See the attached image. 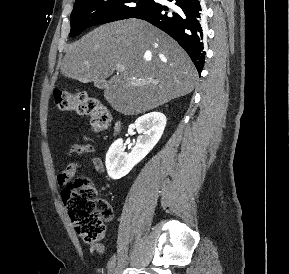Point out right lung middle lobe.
I'll return each mask as SVG.
<instances>
[{
  "instance_id": "obj_1",
  "label": "right lung middle lobe",
  "mask_w": 289,
  "mask_h": 274,
  "mask_svg": "<svg viewBox=\"0 0 289 274\" xmlns=\"http://www.w3.org/2000/svg\"><path fill=\"white\" fill-rule=\"evenodd\" d=\"M153 3V0H76L70 35L75 37L93 25L135 17Z\"/></svg>"
}]
</instances>
